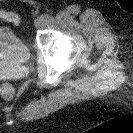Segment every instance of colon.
Wrapping results in <instances>:
<instances>
[{
	"label": "colon",
	"mask_w": 133,
	"mask_h": 133,
	"mask_svg": "<svg viewBox=\"0 0 133 133\" xmlns=\"http://www.w3.org/2000/svg\"><path fill=\"white\" fill-rule=\"evenodd\" d=\"M0 19H4V20L10 21V22H17L18 16L14 13L0 10ZM12 94L13 93L10 88H6L4 91H2V95L7 99L11 98Z\"/></svg>",
	"instance_id": "obj_1"
}]
</instances>
